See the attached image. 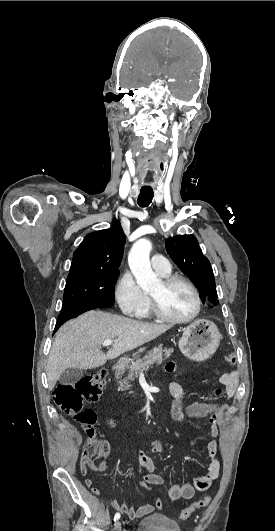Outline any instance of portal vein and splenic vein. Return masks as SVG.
Returning <instances> with one entry per match:
<instances>
[{"label":"portal vein and splenic vein","mask_w":275,"mask_h":531,"mask_svg":"<svg viewBox=\"0 0 275 531\" xmlns=\"http://www.w3.org/2000/svg\"><path fill=\"white\" fill-rule=\"evenodd\" d=\"M112 343H115V341H110V339H108V341H104V343H102V347H109V345H112Z\"/></svg>","instance_id":"18ae733b"}]
</instances>
